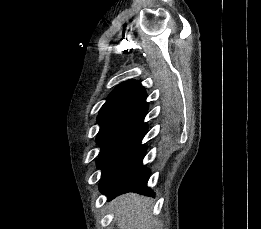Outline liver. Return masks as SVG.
<instances>
[{
  "mask_svg": "<svg viewBox=\"0 0 261 229\" xmlns=\"http://www.w3.org/2000/svg\"><path fill=\"white\" fill-rule=\"evenodd\" d=\"M150 199L135 193H127L112 201L118 229H154L155 221L150 219Z\"/></svg>",
  "mask_w": 261,
  "mask_h": 229,
  "instance_id": "6515ba94",
  "label": "liver"
}]
</instances>
